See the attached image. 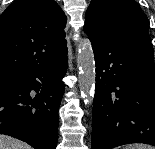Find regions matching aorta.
<instances>
[{
  "label": "aorta",
  "instance_id": "aorta-1",
  "mask_svg": "<svg viewBox=\"0 0 155 149\" xmlns=\"http://www.w3.org/2000/svg\"><path fill=\"white\" fill-rule=\"evenodd\" d=\"M77 63L79 66L78 85L81 95L86 104L92 105L96 82V67L92 44L88 39H84L81 42Z\"/></svg>",
  "mask_w": 155,
  "mask_h": 149
}]
</instances>
